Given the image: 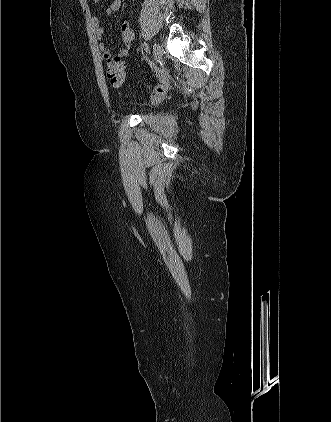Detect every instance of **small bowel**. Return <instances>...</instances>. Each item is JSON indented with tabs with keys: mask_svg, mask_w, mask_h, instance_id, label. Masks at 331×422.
Masks as SVG:
<instances>
[{
	"mask_svg": "<svg viewBox=\"0 0 331 422\" xmlns=\"http://www.w3.org/2000/svg\"><path fill=\"white\" fill-rule=\"evenodd\" d=\"M95 3L100 2V0H93ZM123 0H112L109 7L104 10L107 16H111L114 12H117L122 7ZM92 25L94 29V33L99 40V47L102 54V57L109 61L114 57H120L124 59L130 54L132 43L135 39V31L134 29L127 23L126 20L123 21L121 26L122 38L124 42V47L114 53L102 40L104 29L100 25L99 19L96 16L92 17Z\"/></svg>",
	"mask_w": 331,
	"mask_h": 422,
	"instance_id": "small-bowel-1",
	"label": "small bowel"
}]
</instances>
